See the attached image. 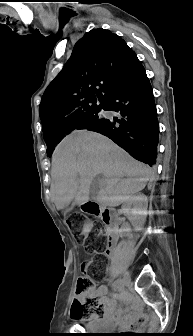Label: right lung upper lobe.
I'll list each match as a JSON object with an SVG mask.
<instances>
[{"instance_id":"1","label":"right lung upper lobe","mask_w":193,"mask_h":336,"mask_svg":"<svg viewBox=\"0 0 193 336\" xmlns=\"http://www.w3.org/2000/svg\"><path fill=\"white\" fill-rule=\"evenodd\" d=\"M138 62L120 36L102 28L87 32L43 94L39 113L45 141L104 108L118 83Z\"/></svg>"}]
</instances>
